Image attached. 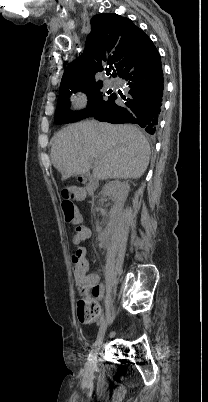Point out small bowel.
I'll return each instance as SVG.
<instances>
[{
    "instance_id": "1",
    "label": "small bowel",
    "mask_w": 208,
    "mask_h": 402,
    "mask_svg": "<svg viewBox=\"0 0 208 402\" xmlns=\"http://www.w3.org/2000/svg\"><path fill=\"white\" fill-rule=\"evenodd\" d=\"M89 236L90 230L85 228V236L83 235L80 237V242L83 244L86 243ZM83 254H85L84 249ZM73 275L79 294L86 300H90V297L88 296L90 291L88 292V289L92 290L97 302L104 296V286L99 282V276L96 273H90V263L87 259L84 267H73ZM88 283L90 284L89 286L87 285ZM101 319L102 315L100 314L98 316L94 315L92 318H90L89 315H81L79 317V327L81 330H94ZM110 327H113V324H110Z\"/></svg>"
}]
</instances>
